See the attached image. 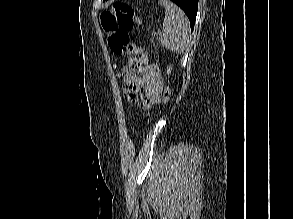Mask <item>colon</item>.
<instances>
[{
  "label": "colon",
  "instance_id": "colon-1",
  "mask_svg": "<svg viewBox=\"0 0 293 219\" xmlns=\"http://www.w3.org/2000/svg\"><path fill=\"white\" fill-rule=\"evenodd\" d=\"M101 25L107 35L111 51L116 55L131 56L123 72L125 74L140 73L148 65V57L146 52L130 39V32L140 25V20L131 6L123 2L114 3L101 13ZM171 95V87L166 86L162 94V104H166Z\"/></svg>",
  "mask_w": 293,
  "mask_h": 219
}]
</instances>
